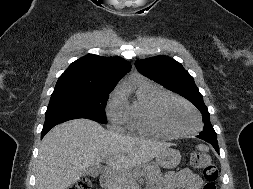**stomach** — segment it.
I'll use <instances>...</instances> for the list:
<instances>
[{
	"mask_svg": "<svg viewBox=\"0 0 253 189\" xmlns=\"http://www.w3.org/2000/svg\"><path fill=\"white\" fill-rule=\"evenodd\" d=\"M181 160V154L179 150L173 148H167L156 157V165L163 168L172 169L176 167Z\"/></svg>",
	"mask_w": 253,
	"mask_h": 189,
	"instance_id": "stomach-1",
	"label": "stomach"
}]
</instances>
